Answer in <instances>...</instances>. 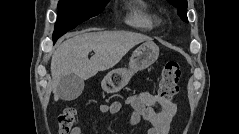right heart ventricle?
Wrapping results in <instances>:
<instances>
[{
	"mask_svg": "<svg viewBox=\"0 0 239 134\" xmlns=\"http://www.w3.org/2000/svg\"><path fill=\"white\" fill-rule=\"evenodd\" d=\"M156 21V15L142 3L132 5L126 17L128 25L142 30H151Z\"/></svg>",
	"mask_w": 239,
	"mask_h": 134,
	"instance_id": "1",
	"label": "right heart ventricle"
}]
</instances>
